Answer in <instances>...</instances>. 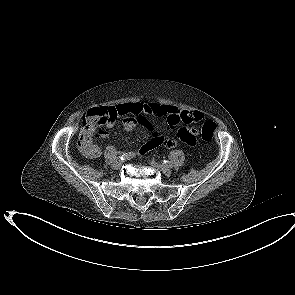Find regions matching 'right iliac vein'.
<instances>
[{"mask_svg":"<svg viewBox=\"0 0 295 295\" xmlns=\"http://www.w3.org/2000/svg\"><path fill=\"white\" fill-rule=\"evenodd\" d=\"M122 161H116V162H114V164H113V168L114 169H120L121 167H122Z\"/></svg>","mask_w":295,"mask_h":295,"instance_id":"1","label":"right iliac vein"}]
</instances>
